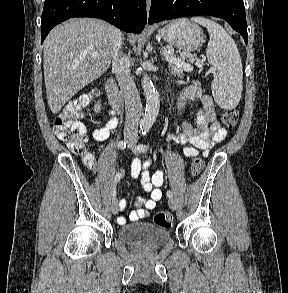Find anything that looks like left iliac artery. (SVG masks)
Instances as JSON below:
<instances>
[{"mask_svg":"<svg viewBox=\"0 0 288 293\" xmlns=\"http://www.w3.org/2000/svg\"><path fill=\"white\" fill-rule=\"evenodd\" d=\"M142 135H146V131H143V130H142ZM147 150H148V146L145 145V144H139V145L136 147V151H138V152H146ZM166 194H167V196H168L169 198H172V197H173V193H172V191H170V190H168Z\"/></svg>","mask_w":288,"mask_h":293,"instance_id":"44dca946","label":"left iliac artery"}]
</instances>
